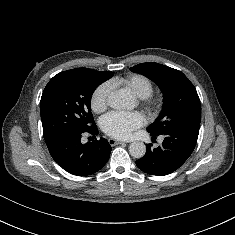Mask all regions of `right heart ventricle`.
I'll return each instance as SVG.
<instances>
[{
	"label": "right heart ventricle",
	"mask_w": 235,
	"mask_h": 235,
	"mask_svg": "<svg viewBox=\"0 0 235 235\" xmlns=\"http://www.w3.org/2000/svg\"><path fill=\"white\" fill-rule=\"evenodd\" d=\"M111 87H123L130 90L138 98L147 97L153 92L152 81L141 74H130L124 77L116 78L110 83Z\"/></svg>",
	"instance_id": "e07e8e85"
}]
</instances>
